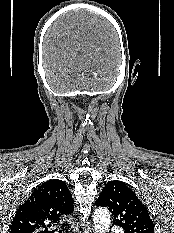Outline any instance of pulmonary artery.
I'll list each match as a JSON object with an SVG mask.
<instances>
[{
    "label": "pulmonary artery",
    "instance_id": "pulmonary-artery-1",
    "mask_svg": "<svg viewBox=\"0 0 174 233\" xmlns=\"http://www.w3.org/2000/svg\"><path fill=\"white\" fill-rule=\"evenodd\" d=\"M113 232L114 233H122L121 231H118V230H114Z\"/></svg>",
    "mask_w": 174,
    "mask_h": 233
}]
</instances>
